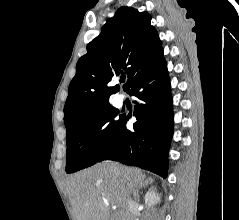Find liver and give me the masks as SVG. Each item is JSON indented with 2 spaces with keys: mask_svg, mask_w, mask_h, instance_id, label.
Returning a JSON list of instances; mask_svg holds the SVG:
<instances>
[{
  "mask_svg": "<svg viewBox=\"0 0 239 220\" xmlns=\"http://www.w3.org/2000/svg\"><path fill=\"white\" fill-rule=\"evenodd\" d=\"M144 178L139 169L110 162L76 173L66 185L75 219L110 220L109 204L116 205L124 216L126 196H130Z\"/></svg>",
  "mask_w": 239,
  "mask_h": 220,
  "instance_id": "obj_1",
  "label": "liver"
}]
</instances>
